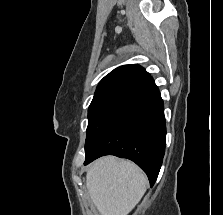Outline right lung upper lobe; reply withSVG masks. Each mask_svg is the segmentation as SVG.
Listing matches in <instances>:
<instances>
[{
  "mask_svg": "<svg viewBox=\"0 0 223 215\" xmlns=\"http://www.w3.org/2000/svg\"><path fill=\"white\" fill-rule=\"evenodd\" d=\"M116 91H126L147 97L159 89L144 68L137 64H129L120 66L106 75L100 81L94 97Z\"/></svg>",
  "mask_w": 223,
  "mask_h": 215,
  "instance_id": "right-lung-upper-lobe-1",
  "label": "right lung upper lobe"
}]
</instances>
